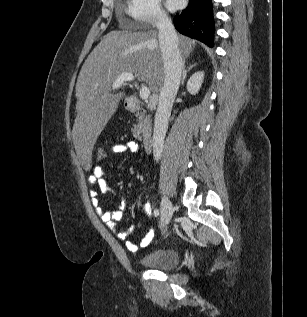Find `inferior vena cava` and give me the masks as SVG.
<instances>
[{"label": "inferior vena cava", "instance_id": "1", "mask_svg": "<svg viewBox=\"0 0 307 317\" xmlns=\"http://www.w3.org/2000/svg\"><path fill=\"white\" fill-rule=\"evenodd\" d=\"M164 65V83L160 90L153 129V155L156 161L162 156L168 121L182 75V57L178 36L171 19L160 16L156 24Z\"/></svg>", "mask_w": 307, "mask_h": 317}]
</instances>
